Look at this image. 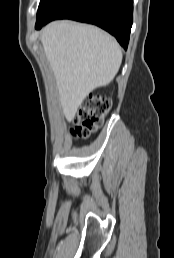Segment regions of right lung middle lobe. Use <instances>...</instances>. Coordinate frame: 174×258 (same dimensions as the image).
<instances>
[{
	"label": "right lung middle lobe",
	"instance_id": "obj_1",
	"mask_svg": "<svg viewBox=\"0 0 174 258\" xmlns=\"http://www.w3.org/2000/svg\"><path fill=\"white\" fill-rule=\"evenodd\" d=\"M63 0H41L37 12L36 25L40 24L48 18L50 13L61 3Z\"/></svg>",
	"mask_w": 174,
	"mask_h": 258
}]
</instances>
